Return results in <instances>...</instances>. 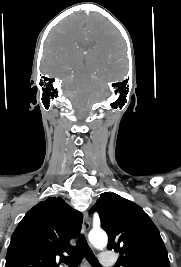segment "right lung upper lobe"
<instances>
[{"label":"right lung upper lobe","instance_id":"cb5924a9","mask_svg":"<svg viewBox=\"0 0 181 267\" xmlns=\"http://www.w3.org/2000/svg\"><path fill=\"white\" fill-rule=\"evenodd\" d=\"M83 215L62 198L51 197L29 210L15 229L5 267H59L56 260L70 254V240L78 236Z\"/></svg>","mask_w":181,"mask_h":267}]
</instances>
